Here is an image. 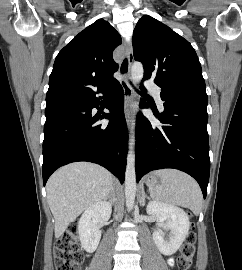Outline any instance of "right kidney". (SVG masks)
Returning a JSON list of instances; mask_svg holds the SVG:
<instances>
[{"instance_id":"1","label":"right kidney","mask_w":242,"mask_h":270,"mask_svg":"<svg viewBox=\"0 0 242 270\" xmlns=\"http://www.w3.org/2000/svg\"><path fill=\"white\" fill-rule=\"evenodd\" d=\"M111 214V203L106 201L97 202L88 207L78 221V233L82 247L87 252L96 250L101 231L98 222L109 218Z\"/></svg>"}]
</instances>
